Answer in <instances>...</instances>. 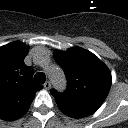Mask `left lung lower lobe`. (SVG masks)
Here are the masks:
<instances>
[{"label":"left lung lower lobe","instance_id":"0a47b994","mask_svg":"<svg viewBox=\"0 0 128 128\" xmlns=\"http://www.w3.org/2000/svg\"><path fill=\"white\" fill-rule=\"evenodd\" d=\"M59 109L66 115L73 118H82L93 114L96 110L92 108L80 107L61 101H56Z\"/></svg>","mask_w":128,"mask_h":128}]
</instances>
